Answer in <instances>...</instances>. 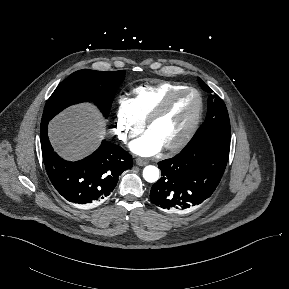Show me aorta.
Masks as SVG:
<instances>
[{
	"instance_id": "762f6f07",
	"label": "aorta",
	"mask_w": 289,
	"mask_h": 289,
	"mask_svg": "<svg viewBox=\"0 0 289 289\" xmlns=\"http://www.w3.org/2000/svg\"><path fill=\"white\" fill-rule=\"evenodd\" d=\"M143 177L147 182L154 183L159 179V169L155 166H146L143 170Z\"/></svg>"
}]
</instances>
